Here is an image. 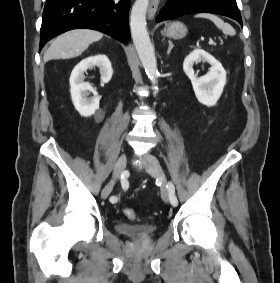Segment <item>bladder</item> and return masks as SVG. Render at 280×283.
Returning a JSON list of instances; mask_svg holds the SVG:
<instances>
[{"label":"bladder","mask_w":280,"mask_h":283,"mask_svg":"<svg viewBox=\"0 0 280 283\" xmlns=\"http://www.w3.org/2000/svg\"><path fill=\"white\" fill-rule=\"evenodd\" d=\"M115 229L118 233L126 235L136 240H144L153 235L156 226L153 224H130L126 222H117Z\"/></svg>","instance_id":"1"}]
</instances>
